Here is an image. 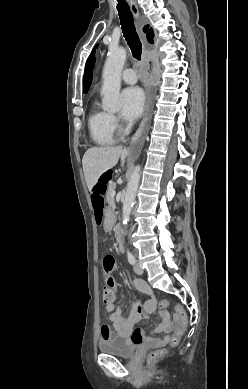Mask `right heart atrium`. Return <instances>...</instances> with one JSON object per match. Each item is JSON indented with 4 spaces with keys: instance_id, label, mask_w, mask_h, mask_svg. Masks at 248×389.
<instances>
[{
    "instance_id": "obj_1",
    "label": "right heart atrium",
    "mask_w": 248,
    "mask_h": 389,
    "mask_svg": "<svg viewBox=\"0 0 248 389\" xmlns=\"http://www.w3.org/2000/svg\"><path fill=\"white\" fill-rule=\"evenodd\" d=\"M112 123L115 129H118L120 126V120L117 116L111 115Z\"/></svg>"
}]
</instances>
